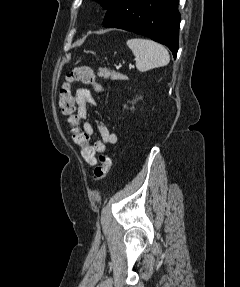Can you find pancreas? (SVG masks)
<instances>
[{"label": "pancreas", "instance_id": "obj_1", "mask_svg": "<svg viewBox=\"0 0 240 287\" xmlns=\"http://www.w3.org/2000/svg\"><path fill=\"white\" fill-rule=\"evenodd\" d=\"M99 77H103L105 79H112V80H121L124 79L123 75L115 72H110L105 69H100L98 73Z\"/></svg>", "mask_w": 240, "mask_h": 287}]
</instances>
